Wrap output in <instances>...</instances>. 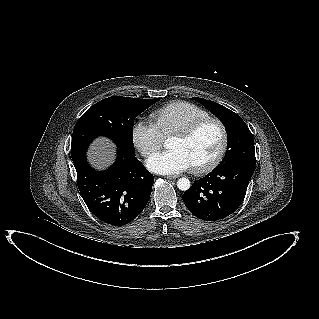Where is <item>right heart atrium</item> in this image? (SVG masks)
I'll use <instances>...</instances> for the list:
<instances>
[{
    "label": "right heart atrium",
    "mask_w": 319,
    "mask_h": 319,
    "mask_svg": "<svg viewBox=\"0 0 319 319\" xmlns=\"http://www.w3.org/2000/svg\"><path fill=\"white\" fill-rule=\"evenodd\" d=\"M131 139L138 152L145 158L155 153L163 143L157 128L145 121H137L131 130Z\"/></svg>",
    "instance_id": "d8ad5b80"
}]
</instances>
